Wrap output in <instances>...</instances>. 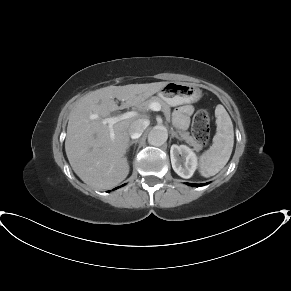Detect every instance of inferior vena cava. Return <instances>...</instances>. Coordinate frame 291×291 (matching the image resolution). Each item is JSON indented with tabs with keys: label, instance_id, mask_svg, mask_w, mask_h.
<instances>
[{
	"label": "inferior vena cava",
	"instance_id": "602c4592",
	"mask_svg": "<svg viewBox=\"0 0 291 291\" xmlns=\"http://www.w3.org/2000/svg\"><path fill=\"white\" fill-rule=\"evenodd\" d=\"M149 123L150 122L148 119H138L134 121L128 129L130 137L132 139L139 138L144 130L148 127Z\"/></svg>",
	"mask_w": 291,
	"mask_h": 291
}]
</instances>
